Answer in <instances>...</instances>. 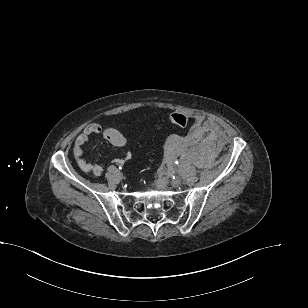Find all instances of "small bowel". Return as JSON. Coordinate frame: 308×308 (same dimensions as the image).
Segmentation results:
<instances>
[{"label": "small bowel", "mask_w": 308, "mask_h": 308, "mask_svg": "<svg viewBox=\"0 0 308 308\" xmlns=\"http://www.w3.org/2000/svg\"><path fill=\"white\" fill-rule=\"evenodd\" d=\"M94 135L102 136L106 141L116 147H123L127 143L125 136L117 129L112 127H103L98 123H91L87 125L83 131L76 137L74 141L73 154L79 167L88 173L99 176L103 172V166L100 163L91 164L85 159L84 145ZM131 158V154L127 153L123 159L115 158L113 161L117 165H123Z\"/></svg>", "instance_id": "c3829d8e"}]
</instances>
